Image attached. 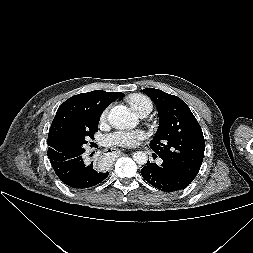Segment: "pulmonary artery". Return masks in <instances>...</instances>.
<instances>
[{
	"mask_svg": "<svg viewBox=\"0 0 253 253\" xmlns=\"http://www.w3.org/2000/svg\"><path fill=\"white\" fill-rule=\"evenodd\" d=\"M148 113H149V111L142 112V113H140V116L145 117ZM159 163H161V160L159 161Z\"/></svg>",
	"mask_w": 253,
	"mask_h": 253,
	"instance_id": "obj_1",
	"label": "pulmonary artery"
}]
</instances>
